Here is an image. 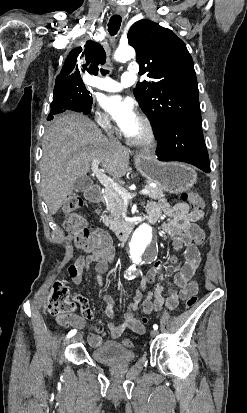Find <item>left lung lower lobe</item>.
I'll list each match as a JSON object with an SVG mask.
<instances>
[{
    "label": "left lung lower lobe",
    "instance_id": "obj_1",
    "mask_svg": "<svg viewBox=\"0 0 247 413\" xmlns=\"http://www.w3.org/2000/svg\"><path fill=\"white\" fill-rule=\"evenodd\" d=\"M155 137L158 140V160L186 162L206 173L211 171L201 125L187 121L173 122Z\"/></svg>",
    "mask_w": 247,
    "mask_h": 413
}]
</instances>
